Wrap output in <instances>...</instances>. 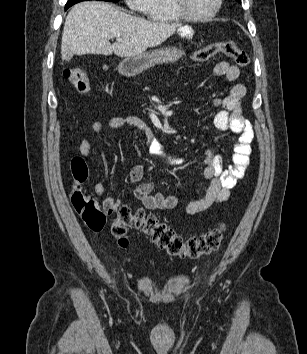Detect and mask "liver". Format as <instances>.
Masks as SVG:
<instances>
[{
	"label": "liver",
	"mask_w": 307,
	"mask_h": 354,
	"mask_svg": "<svg viewBox=\"0 0 307 354\" xmlns=\"http://www.w3.org/2000/svg\"><path fill=\"white\" fill-rule=\"evenodd\" d=\"M179 27L131 16L106 2H81L66 17L61 54L63 59L68 53L134 57L160 45ZM114 37L122 41L111 45L109 39Z\"/></svg>",
	"instance_id": "1"
}]
</instances>
